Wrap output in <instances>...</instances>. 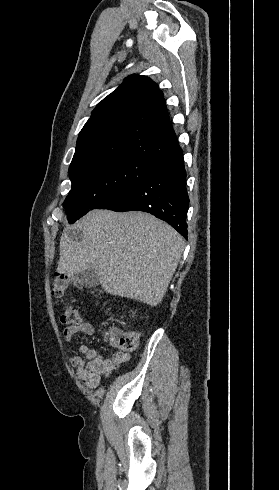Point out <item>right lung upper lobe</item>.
<instances>
[{
	"instance_id": "obj_1",
	"label": "right lung upper lobe",
	"mask_w": 279,
	"mask_h": 490,
	"mask_svg": "<svg viewBox=\"0 0 279 490\" xmlns=\"http://www.w3.org/2000/svg\"><path fill=\"white\" fill-rule=\"evenodd\" d=\"M178 147L162 91L148 77L132 75L93 110L69 172L103 159L154 163Z\"/></svg>"
}]
</instances>
